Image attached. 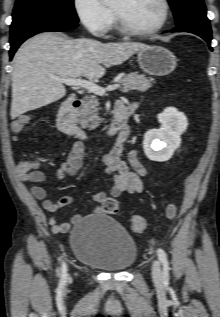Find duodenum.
I'll list each match as a JSON object with an SVG mask.
<instances>
[{
  "instance_id": "1",
  "label": "duodenum",
  "mask_w": 220,
  "mask_h": 317,
  "mask_svg": "<svg viewBox=\"0 0 220 317\" xmlns=\"http://www.w3.org/2000/svg\"><path fill=\"white\" fill-rule=\"evenodd\" d=\"M79 106V100L75 95L66 98L60 105L57 114L58 128L79 140L87 138L86 131L79 126L75 120V111ZM128 110L123 101H118L115 104L112 120L106 130V135L117 138L116 144L122 145L125 140L130 136V131L127 127Z\"/></svg>"
}]
</instances>
